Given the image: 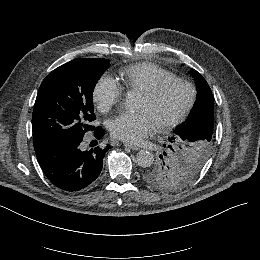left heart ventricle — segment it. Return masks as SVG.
Wrapping results in <instances>:
<instances>
[{"instance_id":"1","label":"left heart ventricle","mask_w":260,"mask_h":260,"mask_svg":"<svg viewBox=\"0 0 260 260\" xmlns=\"http://www.w3.org/2000/svg\"><path fill=\"white\" fill-rule=\"evenodd\" d=\"M155 82L158 84V77L154 74ZM189 99V90L181 84H172L166 91L155 99H150L140 93L137 109L147 110L155 125H159L176 116L186 106Z\"/></svg>"}]
</instances>
